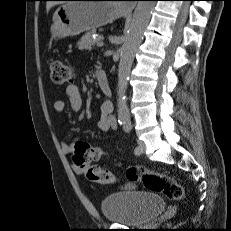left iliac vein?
I'll use <instances>...</instances> for the list:
<instances>
[{"label": "left iliac vein", "instance_id": "left-iliac-vein-1", "mask_svg": "<svg viewBox=\"0 0 231 231\" xmlns=\"http://www.w3.org/2000/svg\"><path fill=\"white\" fill-rule=\"evenodd\" d=\"M138 149H139V153H144L146 150V145L142 140H138Z\"/></svg>", "mask_w": 231, "mask_h": 231}]
</instances>
